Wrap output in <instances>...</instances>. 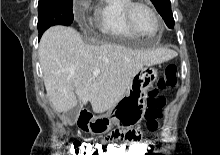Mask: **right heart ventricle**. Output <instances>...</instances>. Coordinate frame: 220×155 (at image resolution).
Segmentation results:
<instances>
[{
  "mask_svg": "<svg viewBox=\"0 0 220 155\" xmlns=\"http://www.w3.org/2000/svg\"><path fill=\"white\" fill-rule=\"evenodd\" d=\"M130 0H98L93 23L98 32L109 39H128L136 35L125 21V8Z\"/></svg>",
  "mask_w": 220,
  "mask_h": 155,
  "instance_id": "obj_1",
  "label": "right heart ventricle"
}]
</instances>
